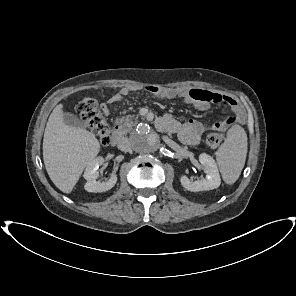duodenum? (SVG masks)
Here are the masks:
<instances>
[{"instance_id":"duodenum-1","label":"duodenum","mask_w":296,"mask_h":296,"mask_svg":"<svg viewBox=\"0 0 296 296\" xmlns=\"http://www.w3.org/2000/svg\"><path fill=\"white\" fill-rule=\"evenodd\" d=\"M159 126H160V129L163 130V131H169L170 127L167 123L165 122H159ZM121 139H122V133H121V130L119 128H115L113 131H112V134H111V144L112 145H118L120 142H121Z\"/></svg>"}]
</instances>
